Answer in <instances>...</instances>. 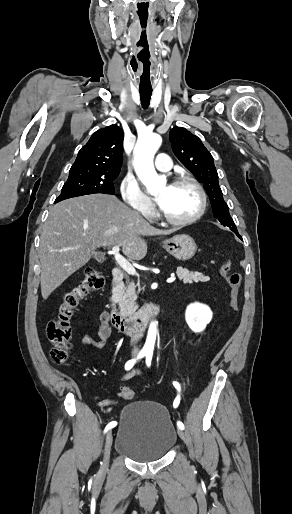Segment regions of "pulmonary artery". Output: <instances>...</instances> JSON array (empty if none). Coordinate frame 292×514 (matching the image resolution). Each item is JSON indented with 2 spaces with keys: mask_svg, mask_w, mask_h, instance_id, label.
<instances>
[{
  "mask_svg": "<svg viewBox=\"0 0 292 514\" xmlns=\"http://www.w3.org/2000/svg\"><path fill=\"white\" fill-rule=\"evenodd\" d=\"M156 158L158 161L155 165V168L158 172H169L171 170V165L173 160L169 157V154L165 151H158L156 153Z\"/></svg>",
  "mask_w": 292,
  "mask_h": 514,
  "instance_id": "pulmonary-artery-1",
  "label": "pulmonary artery"
}]
</instances>
